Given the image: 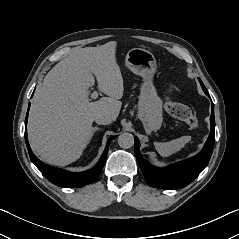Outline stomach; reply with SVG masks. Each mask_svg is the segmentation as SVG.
I'll return each instance as SVG.
<instances>
[{
    "label": "stomach",
    "instance_id": "obj_1",
    "mask_svg": "<svg viewBox=\"0 0 239 239\" xmlns=\"http://www.w3.org/2000/svg\"><path fill=\"white\" fill-rule=\"evenodd\" d=\"M125 63L134 74L143 78L138 102V117L147 132L156 131L163 121V103L152 82L156 72V59L148 50L133 48L128 51Z\"/></svg>",
    "mask_w": 239,
    "mask_h": 239
}]
</instances>
